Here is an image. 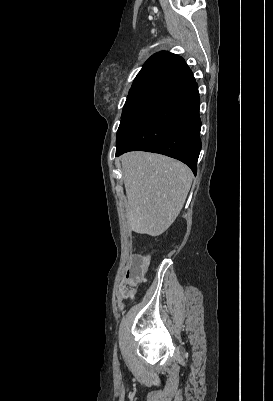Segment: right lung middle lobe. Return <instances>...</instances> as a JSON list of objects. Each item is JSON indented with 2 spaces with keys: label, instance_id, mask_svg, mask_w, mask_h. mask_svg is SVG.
Here are the masks:
<instances>
[{
  "label": "right lung middle lobe",
  "instance_id": "1",
  "mask_svg": "<svg viewBox=\"0 0 273 401\" xmlns=\"http://www.w3.org/2000/svg\"><path fill=\"white\" fill-rule=\"evenodd\" d=\"M167 99L168 96L157 94L128 96L123 107L121 122L117 131L116 149Z\"/></svg>",
  "mask_w": 273,
  "mask_h": 401
}]
</instances>
